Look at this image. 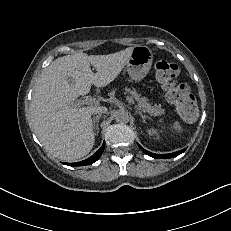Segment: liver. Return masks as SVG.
<instances>
[{
  "label": "liver",
  "instance_id": "liver-1",
  "mask_svg": "<svg viewBox=\"0 0 231 231\" xmlns=\"http://www.w3.org/2000/svg\"><path fill=\"white\" fill-rule=\"evenodd\" d=\"M133 48L108 55L78 52L57 58L44 69L32 96L31 126L49 154L74 161L92 150L95 135L91 115L100 106L79 107L74 101L88 94L92 85L104 87L112 82L127 64Z\"/></svg>",
  "mask_w": 231,
  "mask_h": 231
}]
</instances>
